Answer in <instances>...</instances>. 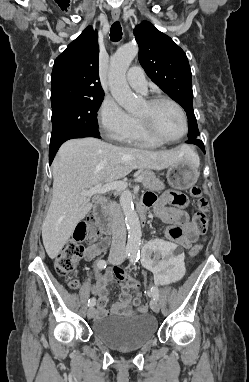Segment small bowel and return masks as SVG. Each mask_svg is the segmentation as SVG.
<instances>
[{"mask_svg": "<svg viewBox=\"0 0 249 382\" xmlns=\"http://www.w3.org/2000/svg\"><path fill=\"white\" fill-rule=\"evenodd\" d=\"M143 203L147 207H152L158 218L171 224L167 231L168 238L171 241H177V245H181V248H189L192 243L198 239L200 232L194 221H190L189 214L185 211L188 205V199L184 194L166 191L160 197H157L154 192H147L143 197ZM109 243L108 239H103L101 242L87 247L84 253V259L91 261L96 256L104 253ZM112 281H116L120 285L121 293L119 301L107 309V287ZM137 287L138 280L127 276L122 269L116 268L107 271L98 278L96 284L92 287V293L98 299L97 314L101 317L129 314L131 312L130 292L136 291Z\"/></svg>", "mask_w": 249, "mask_h": 382, "instance_id": "1", "label": "small bowel"}]
</instances>
